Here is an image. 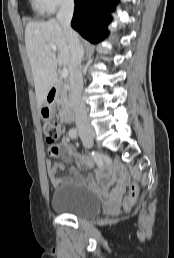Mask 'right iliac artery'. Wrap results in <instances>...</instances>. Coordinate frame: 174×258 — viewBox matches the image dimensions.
<instances>
[{"label":"right iliac artery","mask_w":174,"mask_h":258,"mask_svg":"<svg viewBox=\"0 0 174 258\" xmlns=\"http://www.w3.org/2000/svg\"><path fill=\"white\" fill-rule=\"evenodd\" d=\"M69 136L71 137V138H76L77 137V131L75 130V129H71L70 131H69ZM93 155H94V158L97 160V162H98V165L101 167V166H103V161H102V159L98 156V155H95L94 153H93Z\"/></svg>","instance_id":"right-iliac-artery-1"}]
</instances>
